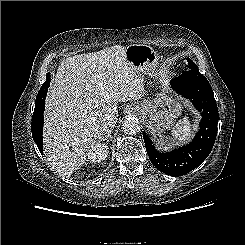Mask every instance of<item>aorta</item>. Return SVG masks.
<instances>
[{"label":"aorta","mask_w":245,"mask_h":245,"mask_svg":"<svg viewBox=\"0 0 245 245\" xmlns=\"http://www.w3.org/2000/svg\"><path fill=\"white\" fill-rule=\"evenodd\" d=\"M123 131L128 135H135L140 131V124L137 118L128 117L122 123Z\"/></svg>","instance_id":"1"}]
</instances>
